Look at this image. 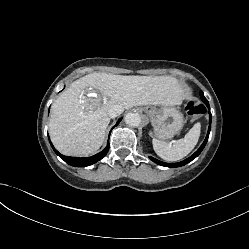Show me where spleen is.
<instances>
[{"label": "spleen", "mask_w": 249, "mask_h": 249, "mask_svg": "<svg viewBox=\"0 0 249 249\" xmlns=\"http://www.w3.org/2000/svg\"><path fill=\"white\" fill-rule=\"evenodd\" d=\"M200 123H196L183 139L175 143H166L164 141L153 139L155 152L162 159L174 162L186 157L196 146L200 136Z\"/></svg>", "instance_id": "spleen-1"}]
</instances>
